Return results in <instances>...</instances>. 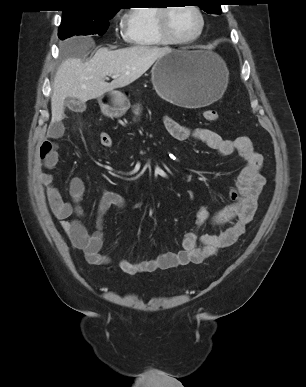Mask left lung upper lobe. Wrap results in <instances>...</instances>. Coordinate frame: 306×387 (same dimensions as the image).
<instances>
[{
    "label": "left lung upper lobe",
    "mask_w": 306,
    "mask_h": 387,
    "mask_svg": "<svg viewBox=\"0 0 306 387\" xmlns=\"http://www.w3.org/2000/svg\"><path fill=\"white\" fill-rule=\"evenodd\" d=\"M222 0H197V5L208 14H220Z\"/></svg>",
    "instance_id": "left-lung-upper-lobe-1"
}]
</instances>
